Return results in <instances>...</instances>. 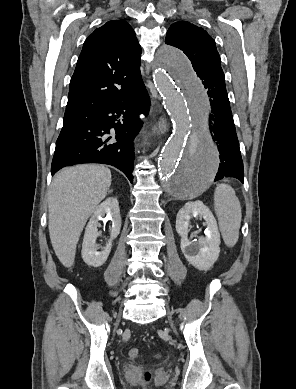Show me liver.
Masks as SVG:
<instances>
[{
    "mask_svg": "<svg viewBox=\"0 0 296 389\" xmlns=\"http://www.w3.org/2000/svg\"><path fill=\"white\" fill-rule=\"evenodd\" d=\"M110 185L111 171L102 165H76L55 175L48 193V228L55 254L65 267L74 264L81 232Z\"/></svg>",
    "mask_w": 296,
    "mask_h": 389,
    "instance_id": "obj_1",
    "label": "liver"
}]
</instances>
